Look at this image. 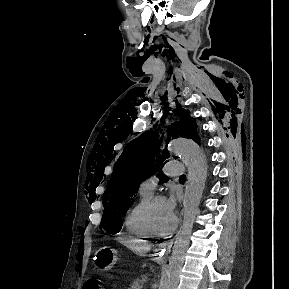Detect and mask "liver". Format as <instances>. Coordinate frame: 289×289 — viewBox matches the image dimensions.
Segmentation results:
<instances>
[{"label":"liver","instance_id":"obj_1","mask_svg":"<svg viewBox=\"0 0 289 289\" xmlns=\"http://www.w3.org/2000/svg\"><path fill=\"white\" fill-rule=\"evenodd\" d=\"M118 240L126 247L131 249L133 252L141 256H144L146 252L150 250V245L143 243L142 241L137 239H129V240L118 239Z\"/></svg>","mask_w":289,"mask_h":289}]
</instances>
